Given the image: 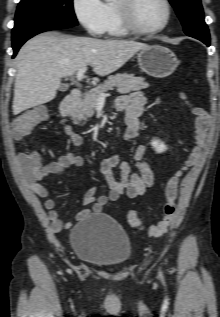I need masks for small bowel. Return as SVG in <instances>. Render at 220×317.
Masks as SVG:
<instances>
[{
  "mask_svg": "<svg viewBox=\"0 0 220 317\" xmlns=\"http://www.w3.org/2000/svg\"><path fill=\"white\" fill-rule=\"evenodd\" d=\"M146 103L147 98L141 92H132L118 98L117 108L125 112L126 126L124 136L126 139L131 140L138 136L140 128L139 117L143 113ZM62 133L71 140L74 146L80 147L83 144L81 135L75 132L70 125H65ZM146 154L147 148L144 145L135 147L132 159L137 170L136 172H132L131 166L121 161L116 155L102 159L100 162V171L106 179L109 192L96 196L95 188H89L84 193L82 202L84 205H90V208L81 211L77 215V219H83L90 214L102 212L108 202L115 201L123 195L129 198L144 195L154 183V174L150 164L146 160ZM26 157V154H20L18 157L19 163L25 172L26 182L32 192L44 199V208L48 211L52 230L60 231L70 227L71 223L64 222L60 218L56 210V203L53 199L49 198V191L41 183V180L50 174H60L69 167L82 166L83 158L77 153L65 152L56 161L45 165L40 164L38 168H35L27 163ZM116 167L120 169L119 179L114 174Z\"/></svg>",
  "mask_w": 220,
  "mask_h": 317,
  "instance_id": "obj_1",
  "label": "small bowel"
}]
</instances>
